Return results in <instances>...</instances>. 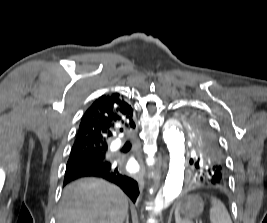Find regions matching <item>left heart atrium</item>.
<instances>
[{
    "instance_id": "39dd6f15",
    "label": "left heart atrium",
    "mask_w": 267,
    "mask_h": 223,
    "mask_svg": "<svg viewBox=\"0 0 267 223\" xmlns=\"http://www.w3.org/2000/svg\"><path fill=\"white\" fill-rule=\"evenodd\" d=\"M131 172H137L140 169V165L138 163H133L129 166Z\"/></svg>"
}]
</instances>
